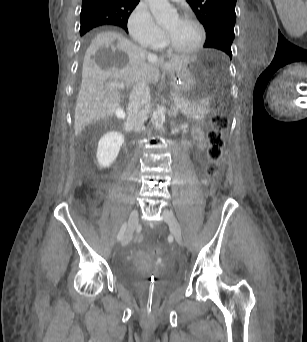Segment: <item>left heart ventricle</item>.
<instances>
[{"instance_id": "1", "label": "left heart ventricle", "mask_w": 307, "mask_h": 342, "mask_svg": "<svg viewBox=\"0 0 307 342\" xmlns=\"http://www.w3.org/2000/svg\"><path fill=\"white\" fill-rule=\"evenodd\" d=\"M170 48L175 50H185L193 47L199 40L198 28L190 23L174 19L163 28Z\"/></svg>"}]
</instances>
